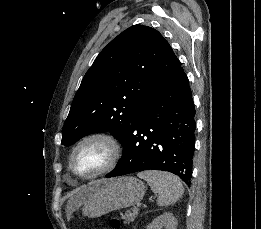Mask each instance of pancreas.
<instances>
[{
  "mask_svg": "<svg viewBox=\"0 0 261 229\" xmlns=\"http://www.w3.org/2000/svg\"><path fill=\"white\" fill-rule=\"evenodd\" d=\"M137 215H139V213L138 211H135V209H133L132 213H130V211H127L125 215H122V219H125L124 221L125 225H129L130 221H134Z\"/></svg>",
  "mask_w": 261,
  "mask_h": 229,
  "instance_id": "cf45deb5",
  "label": "pancreas"
}]
</instances>
